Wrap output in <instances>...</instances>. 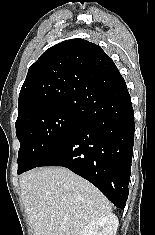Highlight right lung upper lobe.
I'll use <instances>...</instances> for the list:
<instances>
[{"label":"right lung upper lobe","instance_id":"cb5924a9","mask_svg":"<svg viewBox=\"0 0 155 235\" xmlns=\"http://www.w3.org/2000/svg\"><path fill=\"white\" fill-rule=\"evenodd\" d=\"M120 76L98 45L84 39L63 41L30 66L19 94L18 116L44 105L78 110L90 91Z\"/></svg>","mask_w":155,"mask_h":235}]
</instances>
